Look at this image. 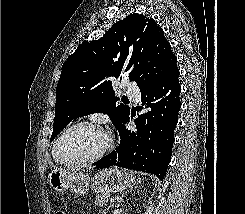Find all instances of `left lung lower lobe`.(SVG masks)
<instances>
[{"mask_svg":"<svg viewBox=\"0 0 245 214\" xmlns=\"http://www.w3.org/2000/svg\"><path fill=\"white\" fill-rule=\"evenodd\" d=\"M178 78L179 69L173 64L160 80L141 91L142 105L150 110L135 119L136 132L126 128L130 116L125 119L119 131V146L96 162V168L116 165L164 179L172 156L174 129L181 108Z\"/></svg>","mask_w":245,"mask_h":214,"instance_id":"left-lung-lower-lobe-1","label":"left lung lower lobe"}]
</instances>
